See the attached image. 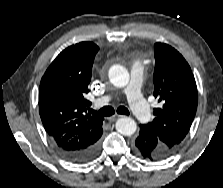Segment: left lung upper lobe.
<instances>
[{
  "label": "left lung upper lobe",
  "instance_id": "1",
  "mask_svg": "<svg viewBox=\"0 0 223 188\" xmlns=\"http://www.w3.org/2000/svg\"><path fill=\"white\" fill-rule=\"evenodd\" d=\"M154 120L144 124L170 154L176 151L194 119L198 93L191 68L183 56L164 43L154 45Z\"/></svg>",
  "mask_w": 223,
  "mask_h": 188
}]
</instances>
